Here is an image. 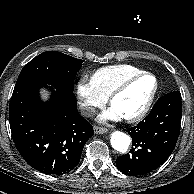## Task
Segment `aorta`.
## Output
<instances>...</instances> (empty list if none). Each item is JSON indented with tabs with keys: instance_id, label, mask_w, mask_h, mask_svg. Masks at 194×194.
Returning <instances> with one entry per match:
<instances>
[{
	"instance_id": "762f6f07",
	"label": "aorta",
	"mask_w": 194,
	"mask_h": 194,
	"mask_svg": "<svg viewBox=\"0 0 194 194\" xmlns=\"http://www.w3.org/2000/svg\"><path fill=\"white\" fill-rule=\"evenodd\" d=\"M110 142L115 150L121 153H126L128 151L131 139L127 134L121 131H114L111 134Z\"/></svg>"
}]
</instances>
